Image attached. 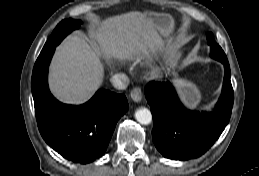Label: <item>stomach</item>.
Returning <instances> with one entry per match:
<instances>
[{
	"mask_svg": "<svg viewBox=\"0 0 259 176\" xmlns=\"http://www.w3.org/2000/svg\"><path fill=\"white\" fill-rule=\"evenodd\" d=\"M145 15L150 19L154 27L163 35H168L170 33L173 26V21L170 16L150 11L145 12ZM180 57V49L177 47L171 48L168 54V61L170 65L175 66ZM177 86L182 99L190 108H195L200 103V92L193 83L183 79H178Z\"/></svg>",
	"mask_w": 259,
	"mask_h": 176,
	"instance_id": "stomach-1",
	"label": "stomach"
}]
</instances>
